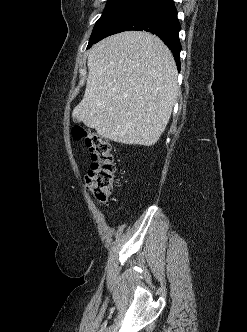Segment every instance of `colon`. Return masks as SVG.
<instances>
[{
	"label": "colon",
	"mask_w": 247,
	"mask_h": 332,
	"mask_svg": "<svg viewBox=\"0 0 247 332\" xmlns=\"http://www.w3.org/2000/svg\"><path fill=\"white\" fill-rule=\"evenodd\" d=\"M75 139H84L90 148L92 164L86 175V185L98 203H105L113 192L116 166L112 146L95 131L76 126Z\"/></svg>",
	"instance_id": "obj_1"
}]
</instances>
